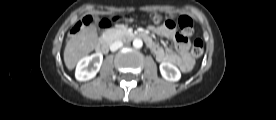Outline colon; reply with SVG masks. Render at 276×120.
Masks as SVG:
<instances>
[{
    "instance_id": "5ec220e1",
    "label": "colon",
    "mask_w": 276,
    "mask_h": 120,
    "mask_svg": "<svg viewBox=\"0 0 276 120\" xmlns=\"http://www.w3.org/2000/svg\"><path fill=\"white\" fill-rule=\"evenodd\" d=\"M93 16L92 15H84L82 19L78 20V23H73L69 26V34L70 35H77L78 32L81 31V28L90 27L93 23ZM132 23V18L130 16H125L121 13H114L113 15H108L107 17H100L97 20V27L100 30H108L111 25L116 28H124L126 25H130ZM165 25L169 28L175 26V23L171 20L167 21ZM178 27H179V36L186 38L193 34L194 32V23L193 20L188 16H181L178 19ZM204 52V44L200 39H196L191 46V54L199 58L203 55Z\"/></svg>"
}]
</instances>
